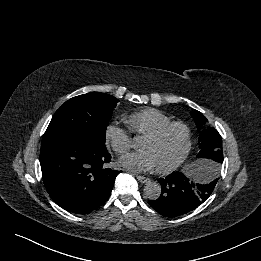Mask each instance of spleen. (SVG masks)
<instances>
[{
	"instance_id": "spleen-1",
	"label": "spleen",
	"mask_w": 261,
	"mask_h": 261,
	"mask_svg": "<svg viewBox=\"0 0 261 261\" xmlns=\"http://www.w3.org/2000/svg\"><path fill=\"white\" fill-rule=\"evenodd\" d=\"M189 175L196 176L199 181L207 179L206 175L202 173V166H198L196 169L189 172Z\"/></svg>"
}]
</instances>
